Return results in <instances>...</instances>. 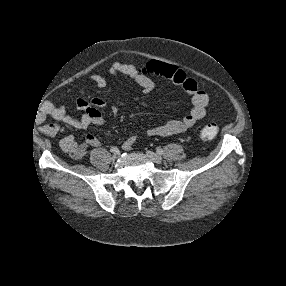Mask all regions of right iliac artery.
Here are the masks:
<instances>
[{
  "label": "right iliac artery",
  "mask_w": 286,
  "mask_h": 286,
  "mask_svg": "<svg viewBox=\"0 0 286 286\" xmlns=\"http://www.w3.org/2000/svg\"><path fill=\"white\" fill-rule=\"evenodd\" d=\"M112 153H117L119 150L117 147H112L110 150Z\"/></svg>",
  "instance_id": "right-iliac-artery-1"
}]
</instances>
